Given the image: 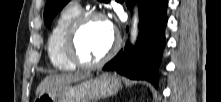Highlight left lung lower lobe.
<instances>
[{
    "instance_id": "obj_1",
    "label": "left lung lower lobe",
    "mask_w": 221,
    "mask_h": 102,
    "mask_svg": "<svg viewBox=\"0 0 221 102\" xmlns=\"http://www.w3.org/2000/svg\"><path fill=\"white\" fill-rule=\"evenodd\" d=\"M129 9L134 0H126ZM168 0H139V38L135 47L126 44L103 70L116 71L131 79H145L158 86V67L165 46ZM133 52V56L129 55Z\"/></svg>"
}]
</instances>
